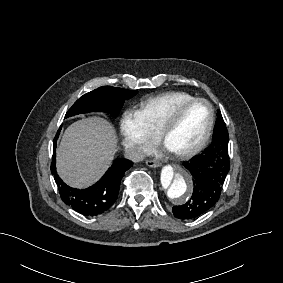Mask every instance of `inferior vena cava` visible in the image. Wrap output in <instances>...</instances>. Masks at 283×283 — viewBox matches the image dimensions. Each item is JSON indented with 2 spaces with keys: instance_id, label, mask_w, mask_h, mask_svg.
Listing matches in <instances>:
<instances>
[{
  "instance_id": "1",
  "label": "inferior vena cava",
  "mask_w": 283,
  "mask_h": 283,
  "mask_svg": "<svg viewBox=\"0 0 283 283\" xmlns=\"http://www.w3.org/2000/svg\"><path fill=\"white\" fill-rule=\"evenodd\" d=\"M124 156L132 162L140 163L144 161L146 153L141 147L137 145H132L130 147L125 148Z\"/></svg>"
}]
</instances>
